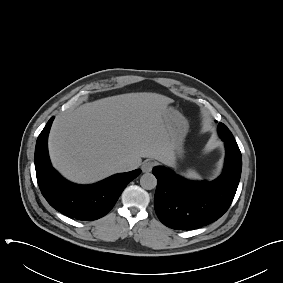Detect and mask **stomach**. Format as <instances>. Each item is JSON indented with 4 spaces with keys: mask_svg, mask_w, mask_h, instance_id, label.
<instances>
[{
    "mask_svg": "<svg viewBox=\"0 0 283 283\" xmlns=\"http://www.w3.org/2000/svg\"><path fill=\"white\" fill-rule=\"evenodd\" d=\"M163 117L170 133L174 156L181 157L184 152V139L189 129L188 121L180 112L171 107L166 108Z\"/></svg>",
    "mask_w": 283,
    "mask_h": 283,
    "instance_id": "obj_1",
    "label": "stomach"
}]
</instances>
